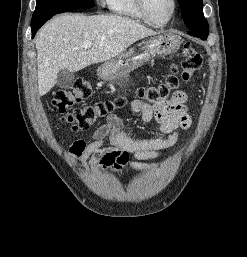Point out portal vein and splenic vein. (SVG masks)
<instances>
[{
  "label": "portal vein and splenic vein",
  "mask_w": 247,
  "mask_h": 257,
  "mask_svg": "<svg viewBox=\"0 0 247 257\" xmlns=\"http://www.w3.org/2000/svg\"><path fill=\"white\" fill-rule=\"evenodd\" d=\"M92 46V41H85L83 44H82V47L85 48V49H88Z\"/></svg>",
  "instance_id": "18ae733b"
}]
</instances>
